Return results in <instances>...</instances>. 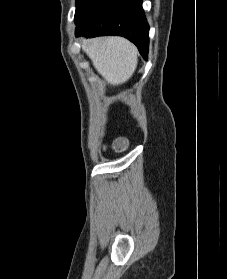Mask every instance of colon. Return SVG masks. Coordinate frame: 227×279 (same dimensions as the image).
<instances>
[{
    "label": "colon",
    "mask_w": 227,
    "mask_h": 279,
    "mask_svg": "<svg viewBox=\"0 0 227 279\" xmlns=\"http://www.w3.org/2000/svg\"><path fill=\"white\" fill-rule=\"evenodd\" d=\"M115 149L121 151V150L125 149V144L122 143V142H118V143L115 144Z\"/></svg>",
    "instance_id": "obj_1"
}]
</instances>
